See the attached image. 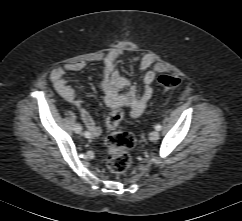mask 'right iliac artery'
Wrapping results in <instances>:
<instances>
[{
    "label": "right iliac artery",
    "mask_w": 242,
    "mask_h": 221,
    "mask_svg": "<svg viewBox=\"0 0 242 221\" xmlns=\"http://www.w3.org/2000/svg\"><path fill=\"white\" fill-rule=\"evenodd\" d=\"M84 136H85L86 138H90V133H89L88 131H85V132H84Z\"/></svg>",
    "instance_id": "right-iliac-artery-1"
}]
</instances>
